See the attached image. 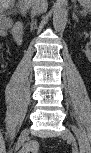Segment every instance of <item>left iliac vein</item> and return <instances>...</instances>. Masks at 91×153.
Here are the masks:
<instances>
[{"label":"left iliac vein","mask_w":91,"mask_h":153,"mask_svg":"<svg viewBox=\"0 0 91 153\" xmlns=\"http://www.w3.org/2000/svg\"><path fill=\"white\" fill-rule=\"evenodd\" d=\"M63 137L66 138L69 142H71L72 144L73 143H76V140H75V137L73 135V133L69 130V129H66L65 132L63 133ZM76 152L77 153H80L78 151V149H76Z\"/></svg>","instance_id":"left-iliac-vein-1"}]
</instances>
